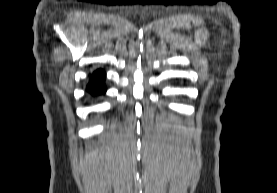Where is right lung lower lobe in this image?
Segmentation results:
<instances>
[{"label":"right lung lower lobe","mask_w":277,"mask_h":193,"mask_svg":"<svg viewBox=\"0 0 277 193\" xmlns=\"http://www.w3.org/2000/svg\"><path fill=\"white\" fill-rule=\"evenodd\" d=\"M105 72L101 69L95 71L90 77V83L87 86L88 92L92 95H99L106 92L104 84Z\"/></svg>","instance_id":"obj_1"}]
</instances>
